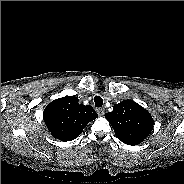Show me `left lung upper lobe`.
Masks as SVG:
<instances>
[{
    "mask_svg": "<svg viewBox=\"0 0 184 184\" xmlns=\"http://www.w3.org/2000/svg\"><path fill=\"white\" fill-rule=\"evenodd\" d=\"M117 138L125 144L137 145L152 131L154 121L150 113L132 100H124L105 114Z\"/></svg>",
    "mask_w": 184,
    "mask_h": 184,
    "instance_id": "5c2ea615",
    "label": "left lung upper lobe"
}]
</instances>
